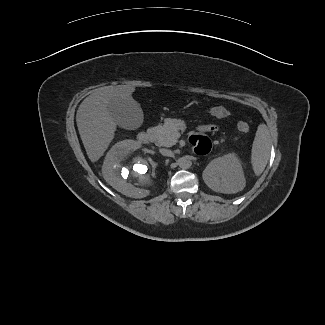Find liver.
<instances>
[{
	"label": "liver",
	"mask_w": 325,
	"mask_h": 325,
	"mask_svg": "<svg viewBox=\"0 0 325 325\" xmlns=\"http://www.w3.org/2000/svg\"><path fill=\"white\" fill-rule=\"evenodd\" d=\"M135 87L105 86L94 90L80 104L76 122L78 131L91 162L98 161L114 139L117 123L108 111L109 103L117 99H133Z\"/></svg>",
	"instance_id": "liver-1"
}]
</instances>
